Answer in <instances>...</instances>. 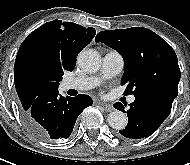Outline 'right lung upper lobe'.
Instances as JSON below:
<instances>
[{"instance_id":"1","label":"right lung upper lobe","mask_w":190,"mask_h":165,"mask_svg":"<svg viewBox=\"0 0 190 165\" xmlns=\"http://www.w3.org/2000/svg\"><path fill=\"white\" fill-rule=\"evenodd\" d=\"M96 30L72 22L54 20L34 30L22 42L14 65V81L21 109H28L44 92L42 81L55 72L64 74L76 65L78 53Z\"/></svg>"}]
</instances>
